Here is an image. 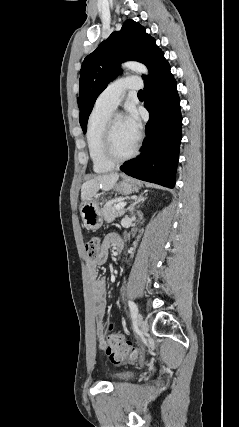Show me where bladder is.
Segmentation results:
<instances>
[{
  "mask_svg": "<svg viewBox=\"0 0 239 427\" xmlns=\"http://www.w3.org/2000/svg\"><path fill=\"white\" fill-rule=\"evenodd\" d=\"M134 376L133 372L130 371H118V372H114L112 374V378L115 381H125V380H129Z\"/></svg>",
  "mask_w": 239,
  "mask_h": 427,
  "instance_id": "bladder-1",
  "label": "bladder"
}]
</instances>
